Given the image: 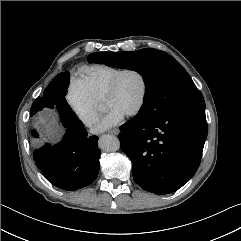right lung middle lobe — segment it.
Returning <instances> with one entry per match:
<instances>
[{"instance_id":"obj_1","label":"right lung middle lobe","mask_w":241,"mask_h":241,"mask_svg":"<svg viewBox=\"0 0 241 241\" xmlns=\"http://www.w3.org/2000/svg\"><path fill=\"white\" fill-rule=\"evenodd\" d=\"M69 81V72L67 71L65 73L61 72L55 76L44 90V95L35 99L30 109V116H34L41 110L54 108L60 115L64 126H82L83 123L77 118L64 97L69 86ZM32 135L38 137L36 131H32Z\"/></svg>"}]
</instances>
